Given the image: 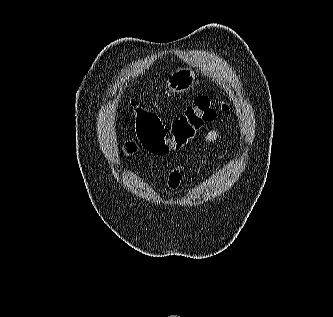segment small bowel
<instances>
[{"label":"small bowel","instance_id":"1","mask_svg":"<svg viewBox=\"0 0 333 317\" xmlns=\"http://www.w3.org/2000/svg\"><path fill=\"white\" fill-rule=\"evenodd\" d=\"M221 135V129L219 127H213L208 130L203 136V142L206 144H212L219 140ZM138 150V144L135 141H129L123 146V153L128 156L135 153ZM184 180V167L182 165L174 166L168 173L167 188L170 191H176Z\"/></svg>","mask_w":333,"mask_h":317}]
</instances>
